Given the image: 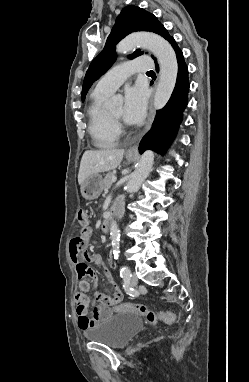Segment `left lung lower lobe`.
I'll use <instances>...</instances> for the list:
<instances>
[{
    "mask_svg": "<svg viewBox=\"0 0 249 382\" xmlns=\"http://www.w3.org/2000/svg\"><path fill=\"white\" fill-rule=\"evenodd\" d=\"M168 41L176 52L178 61L177 81L170 100L164 108L157 111L152 128L140 142V153L147 149L163 153L167 149L176 135L182 120L183 110L187 105L189 91L188 68L183 53L174 38L172 37ZM156 67L158 70V65Z\"/></svg>",
    "mask_w": 249,
    "mask_h": 382,
    "instance_id": "obj_1",
    "label": "left lung lower lobe"
}]
</instances>
